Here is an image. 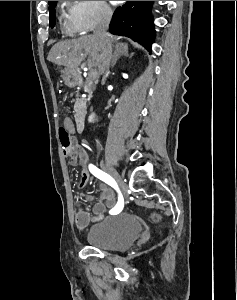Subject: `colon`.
<instances>
[{
	"label": "colon",
	"mask_w": 237,
	"mask_h": 300,
	"mask_svg": "<svg viewBox=\"0 0 237 300\" xmlns=\"http://www.w3.org/2000/svg\"><path fill=\"white\" fill-rule=\"evenodd\" d=\"M59 137L64 151H69L77 145L75 139L63 126L59 129ZM152 218L153 220L158 221L159 216L157 214H153Z\"/></svg>",
	"instance_id": "1"
}]
</instances>
